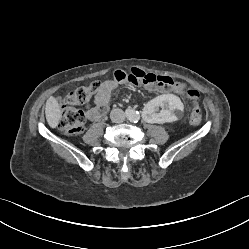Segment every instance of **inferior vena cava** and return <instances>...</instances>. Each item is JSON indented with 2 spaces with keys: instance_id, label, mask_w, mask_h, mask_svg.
<instances>
[{
  "instance_id": "obj_1",
  "label": "inferior vena cava",
  "mask_w": 249,
  "mask_h": 249,
  "mask_svg": "<svg viewBox=\"0 0 249 249\" xmlns=\"http://www.w3.org/2000/svg\"><path fill=\"white\" fill-rule=\"evenodd\" d=\"M110 119L114 123H121L125 120V113L122 109H113L110 113Z\"/></svg>"
}]
</instances>
